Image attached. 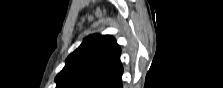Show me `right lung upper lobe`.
Wrapping results in <instances>:
<instances>
[{"instance_id":"1","label":"right lung upper lobe","mask_w":223,"mask_h":88,"mask_svg":"<svg viewBox=\"0 0 223 88\" xmlns=\"http://www.w3.org/2000/svg\"><path fill=\"white\" fill-rule=\"evenodd\" d=\"M120 47L109 35H91L66 59L56 88H122Z\"/></svg>"}]
</instances>
